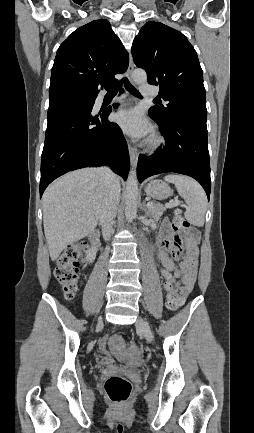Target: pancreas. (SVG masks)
I'll list each match as a JSON object with an SVG mask.
<instances>
[{"mask_svg":"<svg viewBox=\"0 0 254 433\" xmlns=\"http://www.w3.org/2000/svg\"><path fill=\"white\" fill-rule=\"evenodd\" d=\"M166 208H167L166 206H163L160 203H153V205L149 207L148 214L150 217L154 218L155 220H158L163 215Z\"/></svg>","mask_w":254,"mask_h":433,"instance_id":"pancreas-1","label":"pancreas"}]
</instances>
